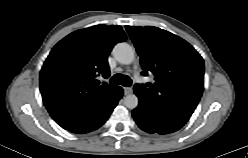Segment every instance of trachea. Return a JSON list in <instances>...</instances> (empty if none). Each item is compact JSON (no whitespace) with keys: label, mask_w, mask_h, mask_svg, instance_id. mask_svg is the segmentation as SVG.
<instances>
[{"label":"trachea","mask_w":248,"mask_h":158,"mask_svg":"<svg viewBox=\"0 0 248 158\" xmlns=\"http://www.w3.org/2000/svg\"><path fill=\"white\" fill-rule=\"evenodd\" d=\"M110 84L111 85H123L125 87H130L132 84V80L130 79L129 76L123 75V74H115L111 79H110Z\"/></svg>","instance_id":"3493384b"}]
</instances>
